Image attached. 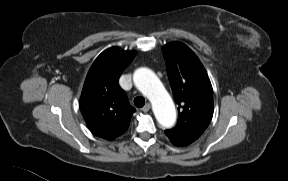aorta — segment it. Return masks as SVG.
<instances>
[{
	"label": "aorta",
	"mask_w": 288,
	"mask_h": 181,
	"mask_svg": "<svg viewBox=\"0 0 288 181\" xmlns=\"http://www.w3.org/2000/svg\"><path fill=\"white\" fill-rule=\"evenodd\" d=\"M133 80L138 90L151 101L159 124L164 128L172 127L176 121L175 106L156 74L148 68H139Z\"/></svg>",
	"instance_id": "1"
}]
</instances>
